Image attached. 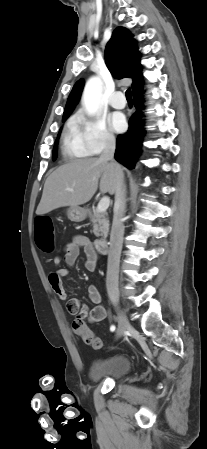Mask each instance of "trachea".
I'll return each mask as SVG.
<instances>
[{"label":"trachea","mask_w":207,"mask_h":449,"mask_svg":"<svg viewBox=\"0 0 207 449\" xmlns=\"http://www.w3.org/2000/svg\"><path fill=\"white\" fill-rule=\"evenodd\" d=\"M126 99H127L128 102H132V92H131V89H128V90L126 91Z\"/></svg>","instance_id":"3493384b"}]
</instances>
